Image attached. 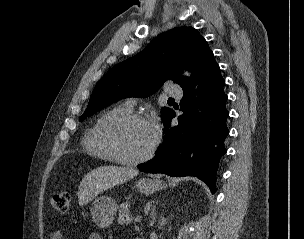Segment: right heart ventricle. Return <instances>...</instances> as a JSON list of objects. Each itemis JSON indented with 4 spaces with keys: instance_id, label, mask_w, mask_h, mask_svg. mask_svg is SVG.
<instances>
[{
    "instance_id": "obj_1",
    "label": "right heart ventricle",
    "mask_w": 304,
    "mask_h": 239,
    "mask_svg": "<svg viewBox=\"0 0 304 239\" xmlns=\"http://www.w3.org/2000/svg\"><path fill=\"white\" fill-rule=\"evenodd\" d=\"M129 106L125 104H120L113 106L104 112H102L94 123L89 127L86 131L83 139H82V148L83 150L96 158L106 160V161H114L112 154L109 152L106 147L102 133L105 126L114 118L124 113L130 112Z\"/></svg>"
}]
</instances>
